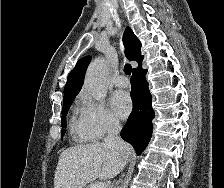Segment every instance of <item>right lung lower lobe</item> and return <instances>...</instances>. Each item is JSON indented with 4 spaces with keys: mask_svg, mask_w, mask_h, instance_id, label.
I'll return each instance as SVG.
<instances>
[{
    "mask_svg": "<svg viewBox=\"0 0 224 188\" xmlns=\"http://www.w3.org/2000/svg\"><path fill=\"white\" fill-rule=\"evenodd\" d=\"M147 70L134 69L131 77V99L133 110L121 131V137L130 143L140 155L148 145L152 135L154 111L151 107V94L145 79Z\"/></svg>",
    "mask_w": 224,
    "mask_h": 188,
    "instance_id": "right-lung-lower-lobe-1",
    "label": "right lung lower lobe"
}]
</instances>
